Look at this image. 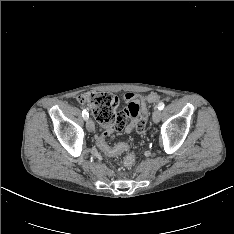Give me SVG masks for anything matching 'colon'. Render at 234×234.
Here are the masks:
<instances>
[{
  "label": "colon",
  "mask_w": 234,
  "mask_h": 234,
  "mask_svg": "<svg viewBox=\"0 0 234 234\" xmlns=\"http://www.w3.org/2000/svg\"><path fill=\"white\" fill-rule=\"evenodd\" d=\"M146 100L150 103H158L162 101L160 95L152 93L146 97ZM81 104L87 105L95 118L104 126L103 130H99V135L95 136L94 141L99 152L105 157H118L125 151L130 150L127 144L119 141L113 144H109L107 140L111 137L116 129H122L125 125L126 118L122 113L116 112V106L118 103L117 97L111 93L98 92L87 93L79 98ZM135 155L129 153L123 161V164L127 168H131L135 164Z\"/></svg>",
  "instance_id": "obj_1"
}]
</instances>
